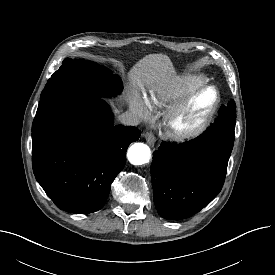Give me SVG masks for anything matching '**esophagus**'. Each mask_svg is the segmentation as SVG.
<instances>
[{"instance_id":"esophagus-1","label":"esophagus","mask_w":275,"mask_h":275,"mask_svg":"<svg viewBox=\"0 0 275 275\" xmlns=\"http://www.w3.org/2000/svg\"><path fill=\"white\" fill-rule=\"evenodd\" d=\"M145 140L147 141V143L150 145V146H154L155 144V136L152 132H146L145 135Z\"/></svg>"}]
</instances>
